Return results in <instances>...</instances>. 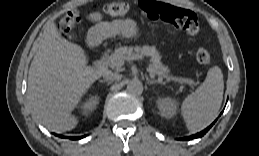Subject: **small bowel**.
Wrapping results in <instances>:
<instances>
[{
	"label": "small bowel",
	"instance_id": "small-bowel-1",
	"mask_svg": "<svg viewBox=\"0 0 259 156\" xmlns=\"http://www.w3.org/2000/svg\"><path fill=\"white\" fill-rule=\"evenodd\" d=\"M90 20L94 23L91 30V38L94 41L114 34L132 36L137 32V24L131 19L108 22L103 20L99 13H93Z\"/></svg>",
	"mask_w": 259,
	"mask_h": 156
}]
</instances>
